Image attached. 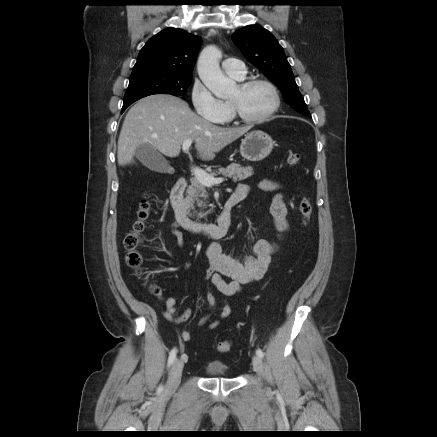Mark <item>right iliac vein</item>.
<instances>
[{
	"mask_svg": "<svg viewBox=\"0 0 437 437\" xmlns=\"http://www.w3.org/2000/svg\"><path fill=\"white\" fill-rule=\"evenodd\" d=\"M183 366H184V359H177L170 371L169 374V379L166 385V393L170 394L172 392H174L179 383H180V379H181V375H182V370H183Z\"/></svg>",
	"mask_w": 437,
	"mask_h": 437,
	"instance_id": "right-iliac-vein-1",
	"label": "right iliac vein"
}]
</instances>
